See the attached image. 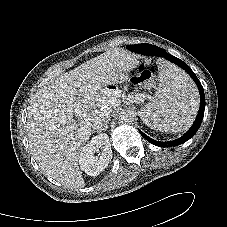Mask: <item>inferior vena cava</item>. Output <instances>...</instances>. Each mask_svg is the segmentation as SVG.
I'll return each mask as SVG.
<instances>
[{
    "instance_id": "1",
    "label": "inferior vena cava",
    "mask_w": 227,
    "mask_h": 227,
    "mask_svg": "<svg viewBox=\"0 0 227 227\" xmlns=\"http://www.w3.org/2000/svg\"><path fill=\"white\" fill-rule=\"evenodd\" d=\"M109 120H110L109 116L98 117L93 124V129L96 130L97 132L103 130V127L107 125Z\"/></svg>"
}]
</instances>
